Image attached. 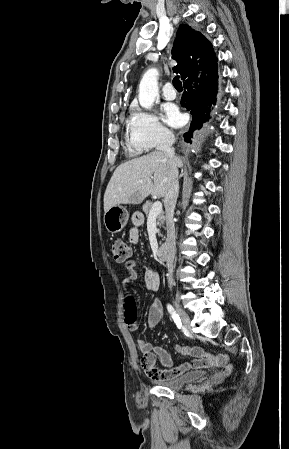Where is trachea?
<instances>
[{"label":"trachea","instance_id":"trachea-1","mask_svg":"<svg viewBox=\"0 0 289 449\" xmlns=\"http://www.w3.org/2000/svg\"><path fill=\"white\" fill-rule=\"evenodd\" d=\"M173 85H174V87H175L177 90L182 89V83H181V81H180V79H179V76H175V77L173 78Z\"/></svg>","mask_w":289,"mask_h":449}]
</instances>
